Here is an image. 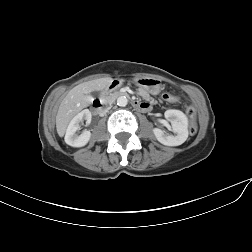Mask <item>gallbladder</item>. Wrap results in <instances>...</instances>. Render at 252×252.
Segmentation results:
<instances>
[{
	"label": "gallbladder",
	"mask_w": 252,
	"mask_h": 252,
	"mask_svg": "<svg viewBox=\"0 0 252 252\" xmlns=\"http://www.w3.org/2000/svg\"><path fill=\"white\" fill-rule=\"evenodd\" d=\"M94 95H95V96H97V95H98V93H96V92H95V93H94Z\"/></svg>",
	"instance_id": "1"
}]
</instances>
